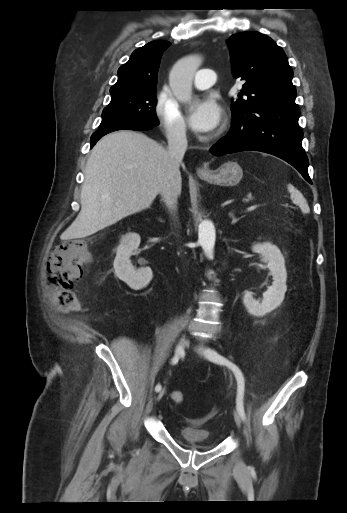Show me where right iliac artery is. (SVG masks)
Listing matches in <instances>:
<instances>
[{"label":"right iliac artery","mask_w":347,"mask_h":513,"mask_svg":"<svg viewBox=\"0 0 347 513\" xmlns=\"http://www.w3.org/2000/svg\"><path fill=\"white\" fill-rule=\"evenodd\" d=\"M182 352H183V349L180 346H178L177 349H176V353H175V355H174V357L172 358V361H171V363L173 365L178 363L179 358H180V354H182ZM160 390H161V385L157 384L156 387H155V391L159 392Z\"/></svg>","instance_id":"1"}]
</instances>
